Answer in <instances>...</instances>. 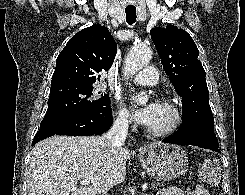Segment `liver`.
Here are the masks:
<instances>
[{
  "mask_svg": "<svg viewBox=\"0 0 245 195\" xmlns=\"http://www.w3.org/2000/svg\"><path fill=\"white\" fill-rule=\"evenodd\" d=\"M131 155L126 148L112 146L105 136H53L32 149L28 195L107 192L125 180V164ZM79 180L90 183L78 187Z\"/></svg>",
  "mask_w": 245,
  "mask_h": 195,
  "instance_id": "liver-1",
  "label": "liver"
}]
</instances>
